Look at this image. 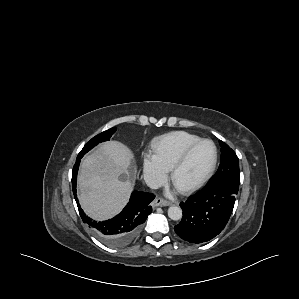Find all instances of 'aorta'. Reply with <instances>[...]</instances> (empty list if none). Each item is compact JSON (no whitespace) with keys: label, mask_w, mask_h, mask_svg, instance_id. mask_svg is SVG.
I'll return each instance as SVG.
<instances>
[{"label":"aorta","mask_w":299,"mask_h":299,"mask_svg":"<svg viewBox=\"0 0 299 299\" xmlns=\"http://www.w3.org/2000/svg\"><path fill=\"white\" fill-rule=\"evenodd\" d=\"M168 217L174 221L182 218V209L178 206H171L168 209Z\"/></svg>","instance_id":"aorta-1"}]
</instances>
